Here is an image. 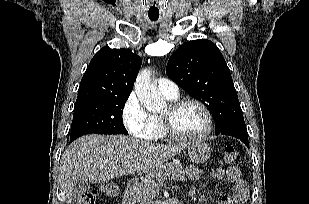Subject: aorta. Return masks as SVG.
Instances as JSON below:
<instances>
[{"label": "aorta", "mask_w": 309, "mask_h": 204, "mask_svg": "<svg viewBox=\"0 0 309 204\" xmlns=\"http://www.w3.org/2000/svg\"><path fill=\"white\" fill-rule=\"evenodd\" d=\"M136 95L150 112H159L166 106L164 99L159 95L158 89L151 83V70H141L135 80L134 84Z\"/></svg>", "instance_id": "762f6f07"}]
</instances>
